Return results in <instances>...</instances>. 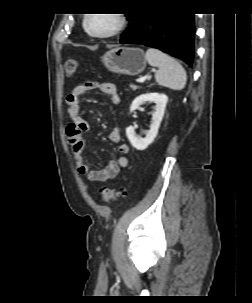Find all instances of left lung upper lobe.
<instances>
[{
    "instance_id": "1",
    "label": "left lung upper lobe",
    "mask_w": 252,
    "mask_h": 303,
    "mask_svg": "<svg viewBox=\"0 0 252 303\" xmlns=\"http://www.w3.org/2000/svg\"><path fill=\"white\" fill-rule=\"evenodd\" d=\"M142 13H134V14H129L127 17L129 19V27L126 29V31L122 34L121 39L126 38L132 31L133 29L136 27V25L138 24L140 17H141Z\"/></svg>"
}]
</instances>
